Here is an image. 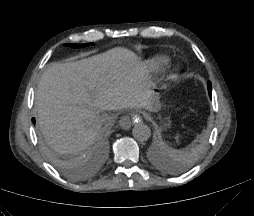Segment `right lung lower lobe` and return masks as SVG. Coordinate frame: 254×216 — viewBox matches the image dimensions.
<instances>
[{
	"label": "right lung lower lobe",
	"mask_w": 254,
	"mask_h": 216,
	"mask_svg": "<svg viewBox=\"0 0 254 216\" xmlns=\"http://www.w3.org/2000/svg\"><path fill=\"white\" fill-rule=\"evenodd\" d=\"M32 121H33V123H35V119L34 118L32 119Z\"/></svg>",
	"instance_id": "1"
}]
</instances>
